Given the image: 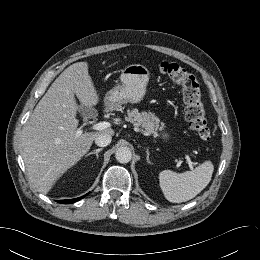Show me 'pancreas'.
Listing matches in <instances>:
<instances>
[{"label":"pancreas","mask_w":260,"mask_h":260,"mask_svg":"<svg viewBox=\"0 0 260 260\" xmlns=\"http://www.w3.org/2000/svg\"><path fill=\"white\" fill-rule=\"evenodd\" d=\"M125 120L137 126H141L148 133L153 134L154 137H157L159 135L157 131L162 130L164 127V123H161L160 126V119L153 113L139 112L136 108L127 111Z\"/></svg>","instance_id":"1"}]
</instances>
